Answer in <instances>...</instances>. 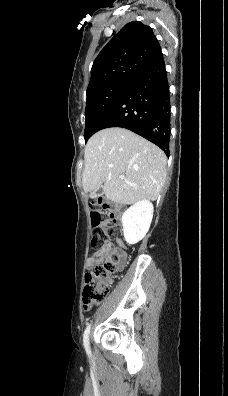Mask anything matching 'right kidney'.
Instances as JSON below:
<instances>
[{
	"label": "right kidney",
	"instance_id": "right-kidney-1",
	"mask_svg": "<svg viewBox=\"0 0 228 396\" xmlns=\"http://www.w3.org/2000/svg\"><path fill=\"white\" fill-rule=\"evenodd\" d=\"M153 210V204L144 199L123 213L121 221L127 243L136 244L145 237L153 218Z\"/></svg>",
	"mask_w": 228,
	"mask_h": 396
}]
</instances>
